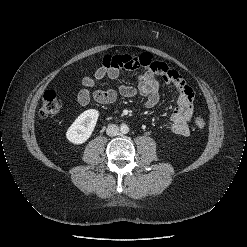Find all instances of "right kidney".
<instances>
[{
	"label": "right kidney",
	"mask_w": 247,
	"mask_h": 247,
	"mask_svg": "<svg viewBox=\"0 0 247 247\" xmlns=\"http://www.w3.org/2000/svg\"><path fill=\"white\" fill-rule=\"evenodd\" d=\"M99 112L96 109H88L81 113L66 132V138L73 144H83L91 136Z\"/></svg>",
	"instance_id": "ca27d5eb"
}]
</instances>
